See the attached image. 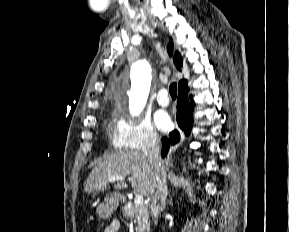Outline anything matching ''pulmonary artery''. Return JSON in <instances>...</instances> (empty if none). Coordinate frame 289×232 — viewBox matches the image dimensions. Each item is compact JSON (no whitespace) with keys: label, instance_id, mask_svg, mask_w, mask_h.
<instances>
[{"label":"pulmonary artery","instance_id":"obj_1","mask_svg":"<svg viewBox=\"0 0 289 232\" xmlns=\"http://www.w3.org/2000/svg\"><path fill=\"white\" fill-rule=\"evenodd\" d=\"M157 102L159 105L166 107L169 105V98L166 89H161L157 95Z\"/></svg>","mask_w":289,"mask_h":232}]
</instances>
